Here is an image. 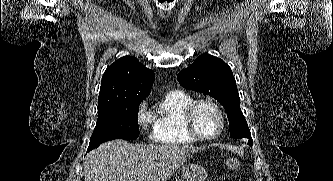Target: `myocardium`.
Masks as SVG:
<instances>
[{
	"label": "myocardium",
	"mask_w": 333,
	"mask_h": 181,
	"mask_svg": "<svg viewBox=\"0 0 333 181\" xmlns=\"http://www.w3.org/2000/svg\"><path fill=\"white\" fill-rule=\"evenodd\" d=\"M202 104H207V105H210L211 107H213L215 109V111L217 112L219 119H220L219 129L212 136L201 135L197 131L196 126H195L194 117H195L198 107ZM183 121H184V127H185L186 132L192 138H194L195 140H199V141H211V140L218 138L222 134L224 127H225V116H224V112H223L221 106L217 102H215L214 100L209 99V98H201V99L193 100L184 111Z\"/></svg>",
	"instance_id": "obj_1"
}]
</instances>
